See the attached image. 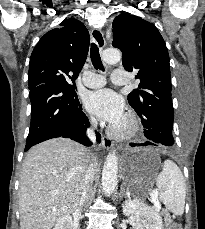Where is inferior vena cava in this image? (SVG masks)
<instances>
[{"mask_svg":"<svg viewBox=\"0 0 205 229\" xmlns=\"http://www.w3.org/2000/svg\"><path fill=\"white\" fill-rule=\"evenodd\" d=\"M91 124L92 126L95 128L97 125V121L95 118H91ZM87 137L89 138V140L93 143H95L96 141V135L94 133V130L92 128H88L87 129ZM94 180V172L92 169L91 164L88 165L87 170H86V174L84 177V183L82 186V192H81V198H80V203L79 206L80 208L84 205L85 200L87 198V189L89 184Z\"/></svg>","mask_w":205,"mask_h":229,"instance_id":"602c4592","label":"inferior vena cava"}]
</instances>
